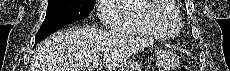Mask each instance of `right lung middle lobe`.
Returning a JSON list of instances; mask_svg holds the SVG:
<instances>
[{"instance_id":"dd1d6c3e","label":"right lung middle lobe","mask_w":230,"mask_h":71,"mask_svg":"<svg viewBox=\"0 0 230 71\" xmlns=\"http://www.w3.org/2000/svg\"><path fill=\"white\" fill-rule=\"evenodd\" d=\"M95 0H48L42 26L81 20L94 9Z\"/></svg>"}]
</instances>
